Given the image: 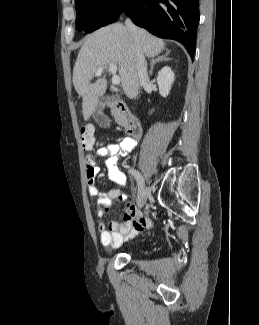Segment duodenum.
Segmentation results:
<instances>
[{"mask_svg":"<svg viewBox=\"0 0 259 325\" xmlns=\"http://www.w3.org/2000/svg\"><path fill=\"white\" fill-rule=\"evenodd\" d=\"M108 108L117 109L125 122L128 137L137 139L142 134V126L138 118L129 110L127 105L121 100L107 99L105 102Z\"/></svg>","mask_w":259,"mask_h":325,"instance_id":"1","label":"duodenum"}]
</instances>
